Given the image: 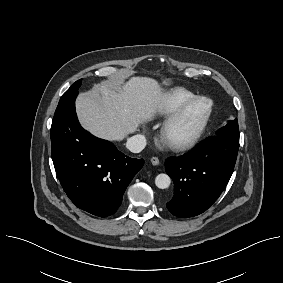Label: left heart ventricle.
<instances>
[{"mask_svg":"<svg viewBox=\"0 0 283 283\" xmlns=\"http://www.w3.org/2000/svg\"><path fill=\"white\" fill-rule=\"evenodd\" d=\"M208 106L209 104L207 101H200L196 103L178 126L176 134L178 136H185L192 133L199 126Z\"/></svg>","mask_w":283,"mask_h":283,"instance_id":"1","label":"left heart ventricle"}]
</instances>
